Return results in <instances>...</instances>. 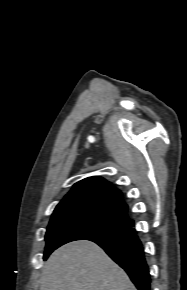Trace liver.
<instances>
[{
	"label": "liver",
	"instance_id": "obj_1",
	"mask_svg": "<svg viewBox=\"0 0 187 290\" xmlns=\"http://www.w3.org/2000/svg\"><path fill=\"white\" fill-rule=\"evenodd\" d=\"M40 290H137L125 271L97 244L74 241L46 261Z\"/></svg>",
	"mask_w": 187,
	"mask_h": 290
}]
</instances>
